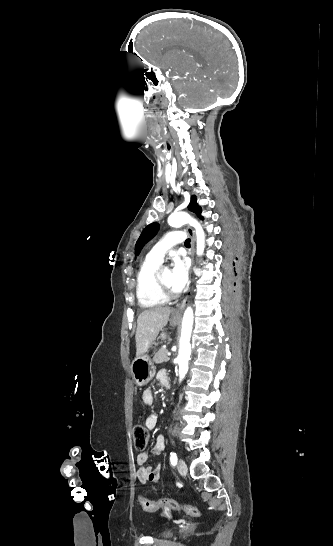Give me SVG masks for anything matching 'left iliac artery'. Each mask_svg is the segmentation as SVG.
Instances as JSON below:
<instances>
[{
	"label": "left iliac artery",
	"instance_id": "1",
	"mask_svg": "<svg viewBox=\"0 0 333 546\" xmlns=\"http://www.w3.org/2000/svg\"><path fill=\"white\" fill-rule=\"evenodd\" d=\"M170 462L173 466L177 464V455L175 452L170 453Z\"/></svg>",
	"mask_w": 333,
	"mask_h": 546
}]
</instances>
